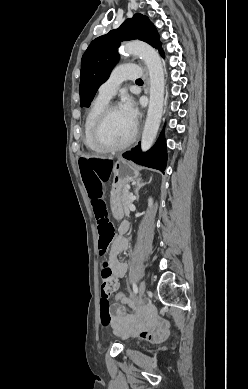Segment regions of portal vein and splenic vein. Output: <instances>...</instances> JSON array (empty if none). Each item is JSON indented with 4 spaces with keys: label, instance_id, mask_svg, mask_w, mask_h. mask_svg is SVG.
<instances>
[{
    "label": "portal vein and splenic vein",
    "instance_id": "18ae733b",
    "mask_svg": "<svg viewBox=\"0 0 248 389\" xmlns=\"http://www.w3.org/2000/svg\"><path fill=\"white\" fill-rule=\"evenodd\" d=\"M130 199H131V200H133V199H134V197L131 195V196H130Z\"/></svg>",
    "mask_w": 248,
    "mask_h": 389
}]
</instances>
